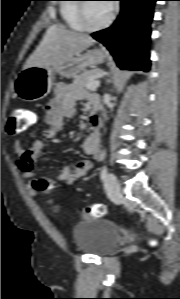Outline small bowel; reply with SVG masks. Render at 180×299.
<instances>
[{
  "label": "small bowel",
  "mask_w": 180,
  "mask_h": 299,
  "mask_svg": "<svg viewBox=\"0 0 180 299\" xmlns=\"http://www.w3.org/2000/svg\"><path fill=\"white\" fill-rule=\"evenodd\" d=\"M83 93L66 83H58L54 90V96L45 110L46 128L43 136L46 139L55 138L62 130L63 122L75 114L76 103L83 99ZM99 135L92 133L86 137L82 143V150L85 154L97 157L99 155ZM43 149L40 140L30 142L28 147L20 140L15 143V150L18 154V166L21 169L27 187L34 192L37 181L47 184H72L78 179L84 177L91 169L89 160H80L73 166H64L57 174L44 175L37 177L33 171L34 165Z\"/></svg>",
  "instance_id": "obj_1"
}]
</instances>
